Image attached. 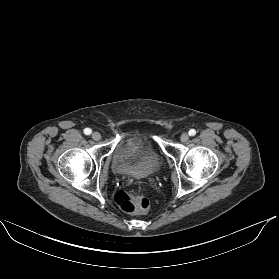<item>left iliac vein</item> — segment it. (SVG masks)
Here are the masks:
<instances>
[{
	"label": "left iliac vein",
	"mask_w": 279,
	"mask_h": 279,
	"mask_svg": "<svg viewBox=\"0 0 279 279\" xmlns=\"http://www.w3.org/2000/svg\"><path fill=\"white\" fill-rule=\"evenodd\" d=\"M189 139V135L187 133H182L180 136V140L182 142H186Z\"/></svg>",
	"instance_id": "1"
}]
</instances>
